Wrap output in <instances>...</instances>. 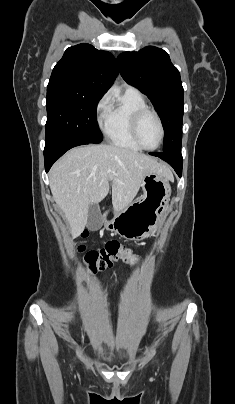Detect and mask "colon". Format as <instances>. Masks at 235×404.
<instances>
[{"mask_svg":"<svg viewBox=\"0 0 235 404\" xmlns=\"http://www.w3.org/2000/svg\"><path fill=\"white\" fill-rule=\"evenodd\" d=\"M86 236L87 232L84 231L83 237ZM77 251L79 254H83L84 262L92 273L110 268L118 260H123L130 264H135L139 261L138 255L117 240L108 241L104 247L87 252L85 251V246L80 244Z\"/></svg>","mask_w":235,"mask_h":404,"instance_id":"colon-1","label":"colon"}]
</instances>
